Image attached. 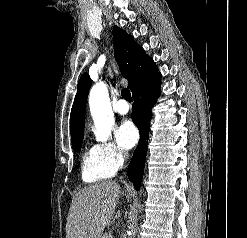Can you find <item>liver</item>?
Instances as JSON below:
<instances>
[{
    "label": "liver",
    "mask_w": 247,
    "mask_h": 238,
    "mask_svg": "<svg viewBox=\"0 0 247 238\" xmlns=\"http://www.w3.org/2000/svg\"><path fill=\"white\" fill-rule=\"evenodd\" d=\"M120 186L114 181L90 185L73 198L66 225V238H101L114 215Z\"/></svg>",
    "instance_id": "6515ba94"
}]
</instances>
